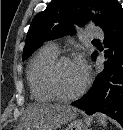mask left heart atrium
I'll return each mask as SVG.
<instances>
[{
	"instance_id": "left-heart-atrium-1",
	"label": "left heart atrium",
	"mask_w": 123,
	"mask_h": 130,
	"mask_svg": "<svg viewBox=\"0 0 123 130\" xmlns=\"http://www.w3.org/2000/svg\"><path fill=\"white\" fill-rule=\"evenodd\" d=\"M74 63L76 65V67L83 73L86 75V64L83 58L78 57L74 60Z\"/></svg>"
}]
</instances>
